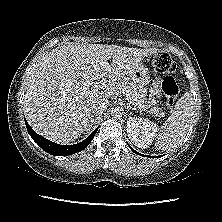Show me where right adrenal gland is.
Here are the masks:
<instances>
[{"instance_id":"2a0ac1e0","label":"right adrenal gland","mask_w":222,"mask_h":222,"mask_svg":"<svg viewBox=\"0 0 222 222\" xmlns=\"http://www.w3.org/2000/svg\"><path fill=\"white\" fill-rule=\"evenodd\" d=\"M93 119H94V116L92 115V116L90 117V123H89V126H90V124L94 121Z\"/></svg>"}]
</instances>
